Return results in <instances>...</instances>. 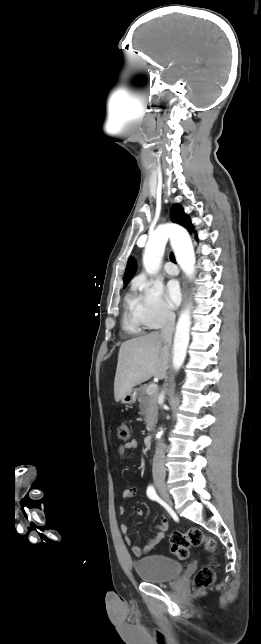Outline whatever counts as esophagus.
<instances>
[{
	"instance_id": "34e87169",
	"label": "esophagus",
	"mask_w": 261,
	"mask_h": 644,
	"mask_svg": "<svg viewBox=\"0 0 261 644\" xmlns=\"http://www.w3.org/2000/svg\"><path fill=\"white\" fill-rule=\"evenodd\" d=\"M186 291H187L186 287H184V294H183L184 300L186 299Z\"/></svg>"
}]
</instances>
